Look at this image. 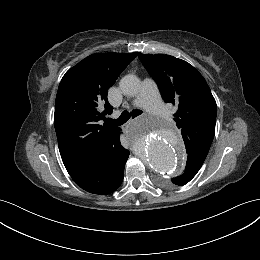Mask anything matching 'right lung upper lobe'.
Here are the masks:
<instances>
[{
  "mask_svg": "<svg viewBox=\"0 0 260 260\" xmlns=\"http://www.w3.org/2000/svg\"><path fill=\"white\" fill-rule=\"evenodd\" d=\"M137 52L95 53L63 76L55 101L54 126L68 173L119 144L120 128L104 123L111 114L107 93Z\"/></svg>",
  "mask_w": 260,
  "mask_h": 260,
  "instance_id": "cb5924a9",
  "label": "right lung upper lobe"
}]
</instances>
